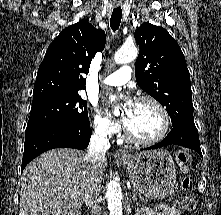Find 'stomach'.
<instances>
[{"mask_svg": "<svg viewBox=\"0 0 221 215\" xmlns=\"http://www.w3.org/2000/svg\"><path fill=\"white\" fill-rule=\"evenodd\" d=\"M118 161L125 167L136 190L147 198L164 199L178 186L174 160L167 150L126 154Z\"/></svg>", "mask_w": 221, "mask_h": 215, "instance_id": "stomach-1", "label": "stomach"}]
</instances>
